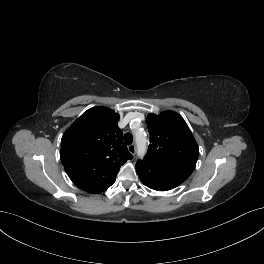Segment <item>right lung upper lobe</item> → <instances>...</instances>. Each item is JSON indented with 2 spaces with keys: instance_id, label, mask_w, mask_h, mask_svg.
Returning <instances> with one entry per match:
<instances>
[{
  "instance_id": "1",
  "label": "right lung upper lobe",
  "mask_w": 264,
  "mask_h": 264,
  "mask_svg": "<svg viewBox=\"0 0 264 264\" xmlns=\"http://www.w3.org/2000/svg\"><path fill=\"white\" fill-rule=\"evenodd\" d=\"M119 114L106 107L83 113L61 139L60 158L65 171L80 189L89 193L107 190L120 167L132 155L122 141Z\"/></svg>"
}]
</instances>
